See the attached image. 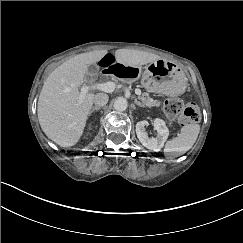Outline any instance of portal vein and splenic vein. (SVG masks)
<instances>
[{
	"mask_svg": "<svg viewBox=\"0 0 243 243\" xmlns=\"http://www.w3.org/2000/svg\"><path fill=\"white\" fill-rule=\"evenodd\" d=\"M91 87L87 86V85H83L81 87V92H80V100H82V98L84 97V95L86 93H88V91L90 90ZM92 88L94 89H98V90H101V91H104L106 93H111L115 90L116 88V84L112 81H109V82H106V83H97V84H94L92 86ZM135 94L137 95H141V90L136 88L135 89Z\"/></svg>",
	"mask_w": 243,
	"mask_h": 243,
	"instance_id": "1",
	"label": "portal vein and splenic vein"
}]
</instances>
